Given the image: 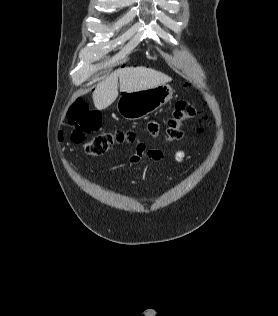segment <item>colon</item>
I'll return each mask as SVG.
<instances>
[{"mask_svg":"<svg viewBox=\"0 0 278 316\" xmlns=\"http://www.w3.org/2000/svg\"><path fill=\"white\" fill-rule=\"evenodd\" d=\"M69 125L72 128L71 138L81 142L86 134L96 132L101 127V116L88 108L87 103L76 100L68 112ZM201 116L196 108L186 101L175 102L171 117L167 120L165 137L168 141H179L186 133L188 122L200 121ZM197 132L198 129H193ZM141 136L132 129L116 130L94 136L85 146L88 155L97 157L106 153L112 146L123 143H136Z\"/></svg>","mask_w":278,"mask_h":316,"instance_id":"obj_1","label":"colon"}]
</instances>
